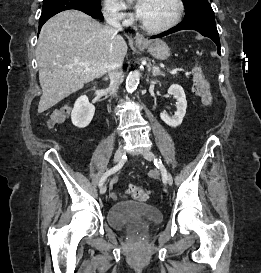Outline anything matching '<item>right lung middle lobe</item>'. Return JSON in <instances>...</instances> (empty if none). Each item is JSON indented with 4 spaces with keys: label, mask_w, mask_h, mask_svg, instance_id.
Wrapping results in <instances>:
<instances>
[{
    "label": "right lung middle lobe",
    "mask_w": 261,
    "mask_h": 273,
    "mask_svg": "<svg viewBox=\"0 0 261 273\" xmlns=\"http://www.w3.org/2000/svg\"><path fill=\"white\" fill-rule=\"evenodd\" d=\"M63 1L69 0H43L42 13H49L64 7ZM88 5L101 9V0H84Z\"/></svg>",
    "instance_id": "dd1d6c3e"
}]
</instances>
